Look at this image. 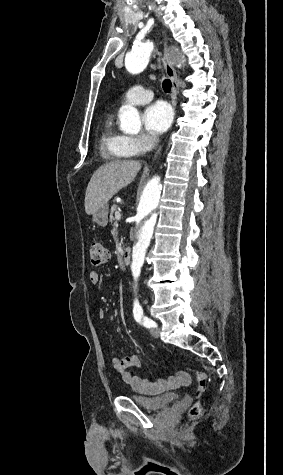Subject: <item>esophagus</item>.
Wrapping results in <instances>:
<instances>
[{
	"label": "esophagus",
	"mask_w": 283,
	"mask_h": 475,
	"mask_svg": "<svg viewBox=\"0 0 283 475\" xmlns=\"http://www.w3.org/2000/svg\"><path fill=\"white\" fill-rule=\"evenodd\" d=\"M161 35L164 39V66H165V72L167 74V76L170 78L171 82H172V104L173 106L176 105V98H177V95L179 93V82H178V78H177V74H176V70L174 69L170 59H169V55H168V52H167V40H166V37L164 35V32L163 30L161 29ZM161 151V148H159V150H157V152L155 153L154 155V158H156L159 153Z\"/></svg>",
	"instance_id": "1"
}]
</instances>
